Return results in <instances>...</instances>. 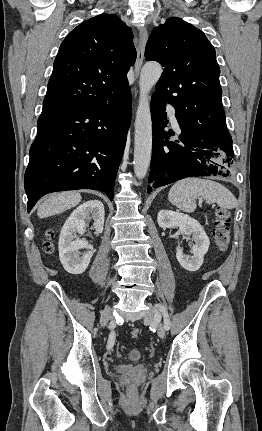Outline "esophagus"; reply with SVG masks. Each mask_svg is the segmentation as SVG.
I'll use <instances>...</instances> for the list:
<instances>
[{
  "label": "esophagus",
  "instance_id": "obj_1",
  "mask_svg": "<svg viewBox=\"0 0 262 431\" xmlns=\"http://www.w3.org/2000/svg\"><path fill=\"white\" fill-rule=\"evenodd\" d=\"M148 39V32L146 28H141L139 30V39H138V45H137V58L135 62L134 72L136 78L140 74L141 67L143 65L144 60V52H145V46Z\"/></svg>",
  "mask_w": 262,
  "mask_h": 431
}]
</instances>
